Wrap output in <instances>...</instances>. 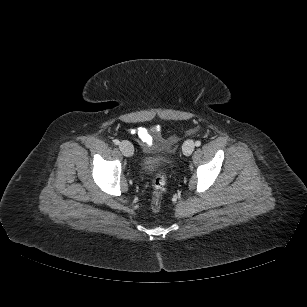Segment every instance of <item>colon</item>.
I'll return each instance as SVG.
<instances>
[{
  "label": "colon",
  "mask_w": 307,
  "mask_h": 307,
  "mask_svg": "<svg viewBox=\"0 0 307 307\" xmlns=\"http://www.w3.org/2000/svg\"><path fill=\"white\" fill-rule=\"evenodd\" d=\"M166 182H167L166 173L164 171H160L159 173H157L153 181L154 194L151 203V207L154 212L160 210L162 193L165 191Z\"/></svg>",
  "instance_id": "1"
}]
</instances>
